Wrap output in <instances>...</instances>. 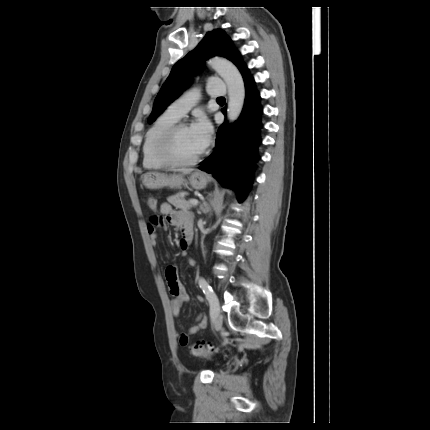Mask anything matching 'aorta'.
<instances>
[{"mask_svg": "<svg viewBox=\"0 0 430 430\" xmlns=\"http://www.w3.org/2000/svg\"><path fill=\"white\" fill-rule=\"evenodd\" d=\"M210 65L224 79L227 85L229 96L227 117L230 122H233L238 119L245 99V86L242 76L231 62L222 57H214ZM215 204V201L212 202L213 206Z\"/></svg>", "mask_w": 430, "mask_h": 430, "instance_id": "obj_1", "label": "aorta"}]
</instances>
